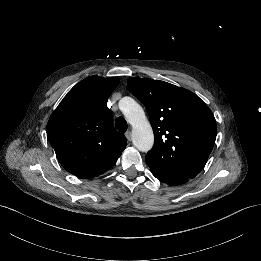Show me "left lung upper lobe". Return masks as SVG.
I'll list each match as a JSON object with an SVG mask.
<instances>
[{
	"mask_svg": "<svg viewBox=\"0 0 261 261\" xmlns=\"http://www.w3.org/2000/svg\"><path fill=\"white\" fill-rule=\"evenodd\" d=\"M130 92L146 107L154 132L148 165L169 174L194 178L212 151L216 121L209 107L193 92L153 79L130 77Z\"/></svg>",
	"mask_w": 261,
	"mask_h": 261,
	"instance_id": "1",
	"label": "left lung upper lobe"
}]
</instances>
